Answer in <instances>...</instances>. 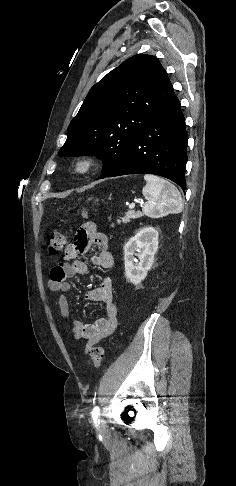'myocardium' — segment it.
<instances>
[{
	"label": "myocardium",
	"mask_w": 236,
	"mask_h": 486,
	"mask_svg": "<svg viewBox=\"0 0 236 486\" xmlns=\"http://www.w3.org/2000/svg\"><path fill=\"white\" fill-rule=\"evenodd\" d=\"M98 166V159L91 154H83L77 156L71 166L70 172L75 177H83L93 172Z\"/></svg>",
	"instance_id": "obj_1"
}]
</instances>
